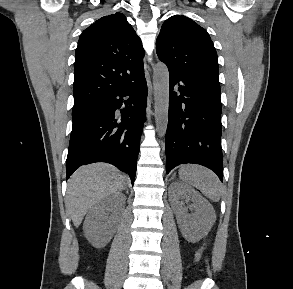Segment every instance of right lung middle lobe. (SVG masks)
I'll return each mask as SVG.
<instances>
[{
  "label": "right lung middle lobe",
  "instance_id": "right-lung-middle-lobe-1",
  "mask_svg": "<svg viewBox=\"0 0 293 289\" xmlns=\"http://www.w3.org/2000/svg\"><path fill=\"white\" fill-rule=\"evenodd\" d=\"M87 105H75L74 107H73V112L74 111H77V110H80V109H82V108H84V107H86Z\"/></svg>",
  "mask_w": 293,
  "mask_h": 289
}]
</instances>
